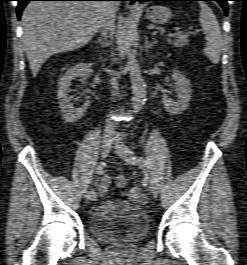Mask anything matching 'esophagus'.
<instances>
[{"label": "esophagus", "instance_id": "esophagus-1", "mask_svg": "<svg viewBox=\"0 0 247 265\" xmlns=\"http://www.w3.org/2000/svg\"><path fill=\"white\" fill-rule=\"evenodd\" d=\"M127 7L133 11H137L139 9V5L136 0H130Z\"/></svg>", "mask_w": 247, "mask_h": 265}]
</instances>
